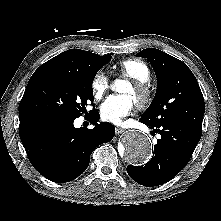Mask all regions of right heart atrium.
Listing matches in <instances>:
<instances>
[{"mask_svg":"<svg viewBox=\"0 0 221 221\" xmlns=\"http://www.w3.org/2000/svg\"><path fill=\"white\" fill-rule=\"evenodd\" d=\"M109 88V79L103 71H98L91 81V90L96 99H100Z\"/></svg>","mask_w":221,"mask_h":221,"instance_id":"right-heart-atrium-1","label":"right heart atrium"}]
</instances>
